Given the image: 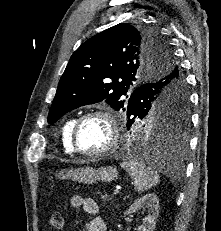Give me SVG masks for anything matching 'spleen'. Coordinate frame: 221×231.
<instances>
[{"label": "spleen", "mask_w": 221, "mask_h": 231, "mask_svg": "<svg viewBox=\"0 0 221 231\" xmlns=\"http://www.w3.org/2000/svg\"><path fill=\"white\" fill-rule=\"evenodd\" d=\"M120 166L128 172L135 182V190L144 192L159 182L158 173L144 162L134 159H124Z\"/></svg>", "instance_id": "1"}]
</instances>
